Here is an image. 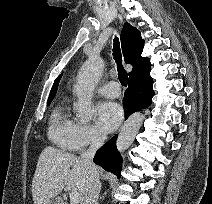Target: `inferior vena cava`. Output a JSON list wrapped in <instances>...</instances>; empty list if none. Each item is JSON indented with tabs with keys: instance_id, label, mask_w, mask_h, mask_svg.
<instances>
[{
	"instance_id": "obj_1",
	"label": "inferior vena cava",
	"mask_w": 212,
	"mask_h": 204,
	"mask_svg": "<svg viewBox=\"0 0 212 204\" xmlns=\"http://www.w3.org/2000/svg\"><path fill=\"white\" fill-rule=\"evenodd\" d=\"M105 139V133L101 131L96 132L91 138L90 147L80 156V159L88 168L83 204H98V195L101 189V184L97 168L93 164V158L96 151L103 145Z\"/></svg>"
}]
</instances>
